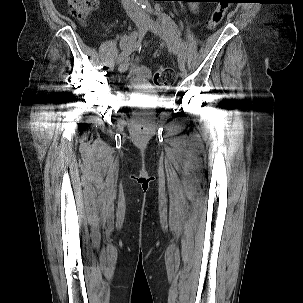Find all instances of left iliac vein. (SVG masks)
Instances as JSON below:
<instances>
[{
	"instance_id": "obj_1",
	"label": "left iliac vein",
	"mask_w": 303,
	"mask_h": 303,
	"mask_svg": "<svg viewBox=\"0 0 303 303\" xmlns=\"http://www.w3.org/2000/svg\"><path fill=\"white\" fill-rule=\"evenodd\" d=\"M148 29L161 38L167 40L171 44V51L174 54H179L182 41L181 38L176 34L175 30L169 27L166 23L148 19ZM182 75L185 73V65H180Z\"/></svg>"
}]
</instances>
